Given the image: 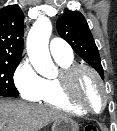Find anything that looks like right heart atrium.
I'll use <instances>...</instances> for the list:
<instances>
[{"instance_id":"right-heart-atrium-1","label":"right heart atrium","mask_w":117,"mask_h":131,"mask_svg":"<svg viewBox=\"0 0 117 131\" xmlns=\"http://www.w3.org/2000/svg\"><path fill=\"white\" fill-rule=\"evenodd\" d=\"M14 83L20 95L29 101H36L42 89L44 79L28 61H23L14 73Z\"/></svg>"}]
</instances>
